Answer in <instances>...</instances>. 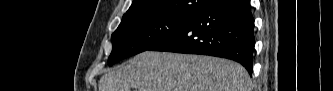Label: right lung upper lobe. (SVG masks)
I'll return each instance as SVG.
<instances>
[{"mask_svg":"<svg viewBox=\"0 0 333 91\" xmlns=\"http://www.w3.org/2000/svg\"><path fill=\"white\" fill-rule=\"evenodd\" d=\"M204 0H133V3L123 16L124 23L130 19L152 15H182L196 16L204 9Z\"/></svg>","mask_w":333,"mask_h":91,"instance_id":"obj_1","label":"right lung upper lobe"}]
</instances>
